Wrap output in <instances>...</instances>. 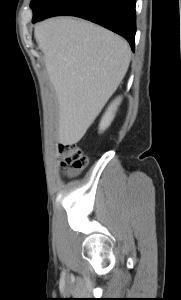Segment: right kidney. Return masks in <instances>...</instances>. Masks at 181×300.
I'll use <instances>...</instances> for the list:
<instances>
[{
  "instance_id": "obj_1",
  "label": "right kidney",
  "mask_w": 181,
  "mask_h": 300,
  "mask_svg": "<svg viewBox=\"0 0 181 300\" xmlns=\"http://www.w3.org/2000/svg\"><path fill=\"white\" fill-rule=\"evenodd\" d=\"M121 99H122L121 97L117 98L108 107V109L105 112V114L103 115L100 125H99L100 132H103L105 129H107L110 126L111 122L113 121V119L115 117V113L117 111V107L119 106V104L121 102Z\"/></svg>"
}]
</instances>
